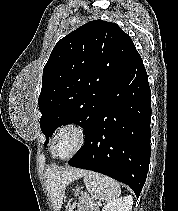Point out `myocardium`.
Segmentation results:
<instances>
[{
  "instance_id": "f54148a6",
  "label": "myocardium",
  "mask_w": 178,
  "mask_h": 211,
  "mask_svg": "<svg viewBox=\"0 0 178 211\" xmlns=\"http://www.w3.org/2000/svg\"><path fill=\"white\" fill-rule=\"evenodd\" d=\"M66 130H71L77 135V145L73 149V151L70 152L69 154H67L65 156H59V155L56 154V151H55V142H56V139L59 136V134H61L62 132L66 131ZM85 143H86L85 129L77 123L70 122V123H66V124L61 125L55 131L53 138L51 140L50 149H51L52 155L55 158L60 159V160H66V159H69V158L77 155L83 149Z\"/></svg>"
}]
</instances>
